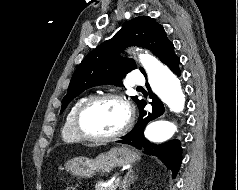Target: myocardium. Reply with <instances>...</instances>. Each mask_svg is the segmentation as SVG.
Segmentation results:
<instances>
[{
	"label": "myocardium",
	"instance_id": "1",
	"mask_svg": "<svg viewBox=\"0 0 238 190\" xmlns=\"http://www.w3.org/2000/svg\"><path fill=\"white\" fill-rule=\"evenodd\" d=\"M108 99L116 100L124 106L127 112V119L125 124L118 131L110 135H95L87 132L82 125V119L84 114L92 105L96 104L97 102ZM133 122H134V110L132 108V105L124 95L115 92H108L89 97L78 108L74 118V126L77 134L82 139L93 142H107L118 139L123 135H125L130 130V128L133 125Z\"/></svg>",
	"mask_w": 238,
	"mask_h": 190
}]
</instances>
